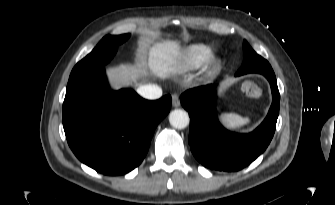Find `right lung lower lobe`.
Segmentation results:
<instances>
[{"instance_id":"right-lung-lower-lobe-1","label":"right lung lower lobe","mask_w":335,"mask_h":205,"mask_svg":"<svg viewBox=\"0 0 335 205\" xmlns=\"http://www.w3.org/2000/svg\"><path fill=\"white\" fill-rule=\"evenodd\" d=\"M171 96L145 100L133 90H110L104 67L68 81L63 127L76 157L105 175H121L144 159Z\"/></svg>"}]
</instances>
